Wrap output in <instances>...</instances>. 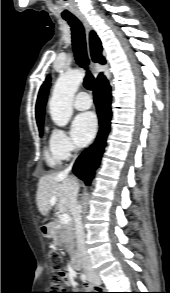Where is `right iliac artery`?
Wrapping results in <instances>:
<instances>
[{"label": "right iliac artery", "mask_w": 170, "mask_h": 293, "mask_svg": "<svg viewBox=\"0 0 170 293\" xmlns=\"http://www.w3.org/2000/svg\"><path fill=\"white\" fill-rule=\"evenodd\" d=\"M81 279L83 281H86L87 280V275L85 273L81 274Z\"/></svg>", "instance_id": "82829eb1"}]
</instances>
